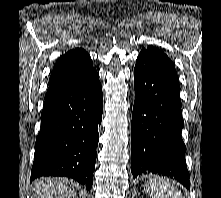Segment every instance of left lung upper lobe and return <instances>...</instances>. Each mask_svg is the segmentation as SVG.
Masks as SVG:
<instances>
[{"instance_id": "1", "label": "left lung upper lobe", "mask_w": 221, "mask_h": 198, "mask_svg": "<svg viewBox=\"0 0 221 198\" xmlns=\"http://www.w3.org/2000/svg\"><path fill=\"white\" fill-rule=\"evenodd\" d=\"M140 53L153 56L176 74L173 62L168 58V56L162 50L149 46L146 49H143Z\"/></svg>"}]
</instances>
